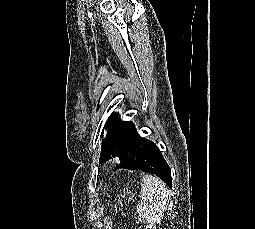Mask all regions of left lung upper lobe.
I'll return each mask as SVG.
<instances>
[{"mask_svg": "<svg viewBox=\"0 0 255 229\" xmlns=\"http://www.w3.org/2000/svg\"><path fill=\"white\" fill-rule=\"evenodd\" d=\"M109 118L105 124V127L108 128V133L105 140L102 142L100 155L101 163L111 158V155L113 157L121 156L129 143L128 137L110 128ZM101 136H103V131L101 132Z\"/></svg>", "mask_w": 255, "mask_h": 229, "instance_id": "1", "label": "left lung upper lobe"}]
</instances>
